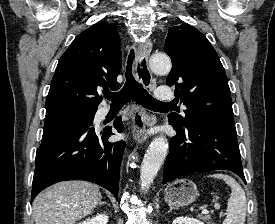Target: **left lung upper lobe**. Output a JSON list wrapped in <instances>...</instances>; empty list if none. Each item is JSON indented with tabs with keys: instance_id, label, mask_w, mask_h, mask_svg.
<instances>
[{
	"instance_id": "obj_1",
	"label": "left lung upper lobe",
	"mask_w": 275,
	"mask_h": 224,
	"mask_svg": "<svg viewBox=\"0 0 275 224\" xmlns=\"http://www.w3.org/2000/svg\"><path fill=\"white\" fill-rule=\"evenodd\" d=\"M164 51L172 60L166 84L187 107L169 120L186 127L199 120L235 127L230 88L224 68L207 38L187 23L171 27Z\"/></svg>"
}]
</instances>
